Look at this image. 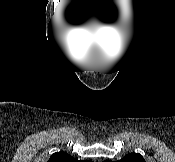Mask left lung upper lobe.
<instances>
[{"label": "left lung upper lobe", "mask_w": 175, "mask_h": 162, "mask_svg": "<svg viewBox=\"0 0 175 162\" xmlns=\"http://www.w3.org/2000/svg\"><path fill=\"white\" fill-rule=\"evenodd\" d=\"M103 162H113L111 160H105ZM116 162H145L144 158L139 153H129L124 156L121 160Z\"/></svg>", "instance_id": "1"}]
</instances>
